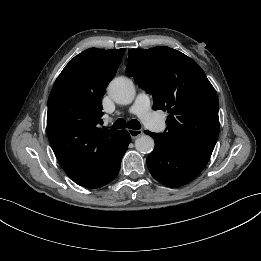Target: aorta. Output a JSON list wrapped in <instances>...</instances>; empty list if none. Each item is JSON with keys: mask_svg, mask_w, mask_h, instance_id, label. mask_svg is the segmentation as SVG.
<instances>
[{"mask_svg": "<svg viewBox=\"0 0 261 261\" xmlns=\"http://www.w3.org/2000/svg\"><path fill=\"white\" fill-rule=\"evenodd\" d=\"M108 94L118 104L128 105L135 98V86L126 77L114 78L108 85ZM135 148L140 153H150L154 149V140L149 135H141L135 140Z\"/></svg>", "mask_w": 261, "mask_h": 261, "instance_id": "762f6f07", "label": "aorta"}]
</instances>
